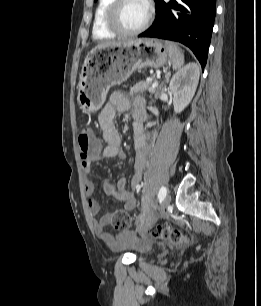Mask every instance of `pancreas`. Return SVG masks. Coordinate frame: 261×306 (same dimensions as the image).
<instances>
[{
	"mask_svg": "<svg viewBox=\"0 0 261 306\" xmlns=\"http://www.w3.org/2000/svg\"><path fill=\"white\" fill-rule=\"evenodd\" d=\"M144 91H149L151 94H158L159 88L152 87L151 81H141L136 83L133 87L130 89V95H134L137 93H143Z\"/></svg>",
	"mask_w": 261,
	"mask_h": 306,
	"instance_id": "pancreas-1",
	"label": "pancreas"
}]
</instances>
